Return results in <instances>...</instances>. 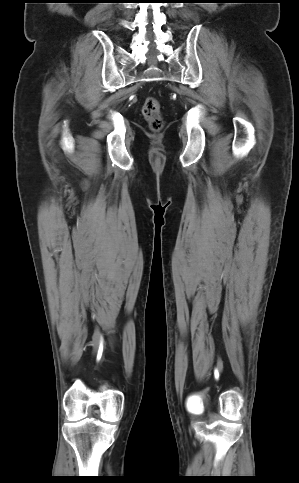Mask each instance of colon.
I'll return each mask as SVG.
<instances>
[{
	"mask_svg": "<svg viewBox=\"0 0 299 483\" xmlns=\"http://www.w3.org/2000/svg\"><path fill=\"white\" fill-rule=\"evenodd\" d=\"M142 113L153 131H159L163 127V119L157 98L154 96L146 97L143 104Z\"/></svg>",
	"mask_w": 299,
	"mask_h": 483,
	"instance_id": "obj_1",
	"label": "colon"
}]
</instances>
